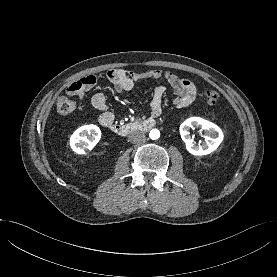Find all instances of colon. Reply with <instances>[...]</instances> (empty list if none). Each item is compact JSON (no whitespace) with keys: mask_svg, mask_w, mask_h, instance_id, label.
Listing matches in <instances>:
<instances>
[{"mask_svg":"<svg viewBox=\"0 0 277 277\" xmlns=\"http://www.w3.org/2000/svg\"><path fill=\"white\" fill-rule=\"evenodd\" d=\"M74 92H81L85 89V82L77 81V84L72 88ZM221 99V95L216 90H207L205 92V100L209 105H216ZM57 112L60 115H68L76 109V103L67 96H62L56 103Z\"/></svg>","mask_w":277,"mask_h":277,"instance_id":"obj_1","label":"colon"}]
</instances>
